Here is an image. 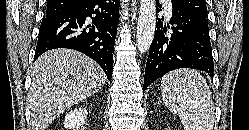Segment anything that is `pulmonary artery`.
<instances>
[{
	"label": "pulmonary artery",
	"mask_w": 249,
	"mask_h": 130,
	"mask_svg": "<svg viewBox=\"0 0 249 130\" xmlns=\"http://www.w3.org/2000/svg\"><path fill=\"white\" fill-rule=\"evenodd\" d=\"M165 6L167 13L170 15L172 13V4L171 0H161Z\"/></svg>",
	"instance_id": "1"
}]
</instances>
